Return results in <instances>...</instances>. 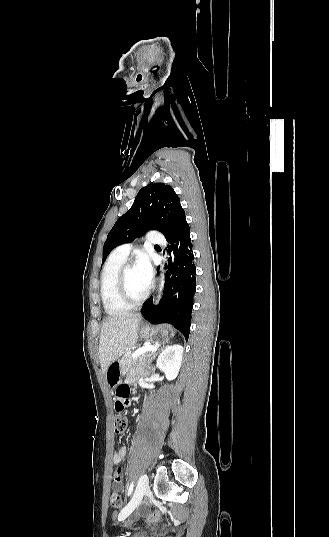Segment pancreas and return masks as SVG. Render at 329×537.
Here are the masks:
<instances>
[{
  "instance_id": "pancreas-1",
  "label": "pancreas",
  "mask_w": 329,
  "mask_h": 537,
  "mask_svg": "<svg viewBox=\"0 0 329 537\" xmlns=\"http://www.w3.org/2000/svg\"><path fill=\"white\" fill-rule=\"evenodd\" d=\"M152 354V352H147L145 354H142L141 356H139L138 360L137 359H132L131 356L132 354L131 353H126L121 361H120V368H121V372L124 373L128 370H130L132 368V366L136 363V361L138 362H144L146 361L150 355Z\"/></svg>"
}]
</instances>
